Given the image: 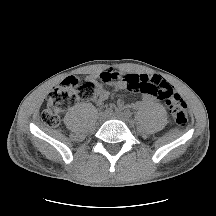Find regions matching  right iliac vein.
I'll return each mask as SVG.
<instances>
[{
	"mask_svg": "<svg viewBox=\"0 0 216 216\" xmlns=\"http://www.w3.org/2000/svg\"><path fill=\"white\" fill-rule=\"evenodd\" d=\"M107 113L106 112H101L99 113V116H98V119H99V122H104L106 117H107Z\"/></svg>",
	"mask_w": 216,
	"mask_h": 216,
	"instance_id": "obj_1",
	"label": "right iliac vein"
}]
</instances>
